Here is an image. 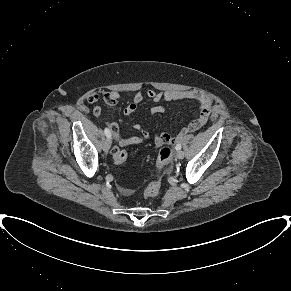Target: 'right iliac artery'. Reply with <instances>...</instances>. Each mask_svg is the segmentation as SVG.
Instances as JSON below:
<instances>
[{"mask_svg": "<svg viewBox=\"0 0 291 291\" xmlns=\"http://www.w3.org/2000/svg\"><path fill=\"white\" fill-rule=\"evenodd\" d=\"M104 133L107 136V138H111V132H110V130L108 128L104 129Z\"/></svg>", "mask_w": 291, "mask_h": 291, "instance_id": "obj_1", "label": "right iliac artery"}]
</instances>
